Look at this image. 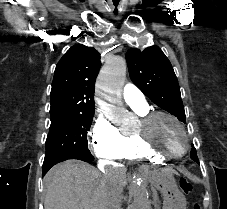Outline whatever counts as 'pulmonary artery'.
Instances as JSON below:
<instances>
[{"label": "pulmonary artery", "instance_id": "pulmonary-artery-1", "mask_svg": "<svg viewBox=\"0 0 227 209\" xmlns=\"http://www.w3.org/2000/svg\"><path fill=\"white\" fill-rule=\"evenodd\" d=\"M125 102L135 109H144L147 107L145 95H141V88H135V84H126L123 90Z\"/></svg>", "mask_w": 227, "mask_h": 209}]
</instances>
